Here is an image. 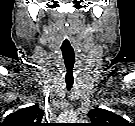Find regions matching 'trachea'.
Instances as JSON below:
<instances>
[{
  "mask_svg": "<svg viewBox=\"0 0 135 126\" xmlns=\"http://www.w3.org/2000/svg\"><path fill=\"white\" fill-rule=\"evenodd\" d=\"M74 56L73 57H64V64H65V82H66V88L68 91L71 90L74 82L73 78V68H74Z\"/></svg>",
  "mask_w": 135,
  "mask_h": 126,
  "instance_id": "1",
  "label": "trachea"
}]
</instances>
